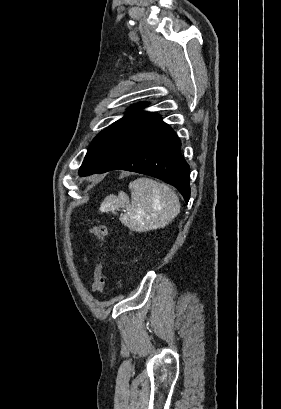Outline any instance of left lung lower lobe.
<instances>
[{
    "label": "left lung lower lobe",
    "mask_w": 281,
    "mask_h": 409,
    "mask_svg": "<svg viewBox=\"0 0 281 409\" xmlns=\"http://www.w3.org/2000/svg\"><path fill=\"white\" fill-rule=\"evenodd\" d=\"M181 142L167 124L130 146L104 164L96 173L122 169L156 177L190 198L189 165L180 153Z\"/></svg>",
    "instance_id": "1"
}]
</instances>
